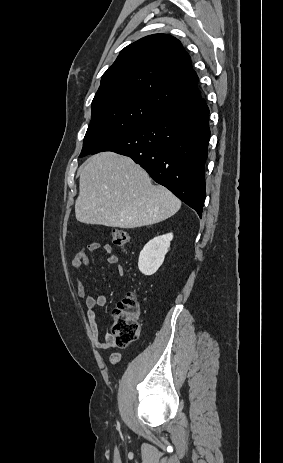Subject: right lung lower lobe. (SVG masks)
Masks as SVG:
<instances>
[{
	"label": "right lung lower lobe",
	"instance_id": "98d812e1",
	"mask_svg": "<svg viewBox=\"0 0 283 463\" xmlns=\"http://www.w3.org/2000/svg\"><path fill=\"white\" fill-rule=\"evenodd\" d=\"M209 109L201 96L159 110L92 154L113 151L131 157L159 184L196 210L205 201Z\"/></svg>",
	"mask_w": 283,
	"mask_h": 463
}]
</instances>
